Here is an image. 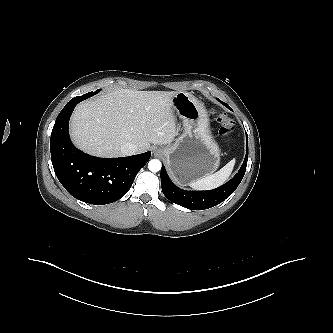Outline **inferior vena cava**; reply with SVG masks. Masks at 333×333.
<instances>
[{
	"label": "inferior vena cava",
	"mask_w": 333,
	"mask_h": 333,
	"mask_svg": "<svg viewBox=\"0 0 333 333\" xmlns=\"http://www.w3.org/2000/svg\"><path fill=\"white\" fill-rule=\"evenodd\" d=\"M120 151H121L122 155L129 156V155L137 154V152L139 150H138L137 145H135L133 143H126L121 146Z\"/></svg>",
	"instance_id": "602c4592"
}]
</instances>
